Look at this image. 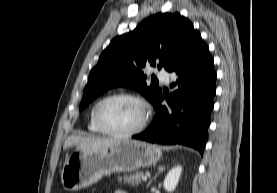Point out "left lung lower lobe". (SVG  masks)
<instances>
[{"instance_id": "0a47b994", "label": "left lung lower lobe", "mask_w": 277, "mask_h": 193, "mask_svg": "<svg viewBox=\"0 0 277 193\" xmlns=\"http://www.w3.org/2000/svg\"><path fill=\"white\" fill-rule=\"evenodd\" d=\"M170 72L177 75L171 84L175 91L161 95L154 104L156 114L150 127L134 139L161 144H184L203 154L208 137L213 97L216 93V73L213 59L200 34L184 58Z\"/></svg>"}]
</instances>
